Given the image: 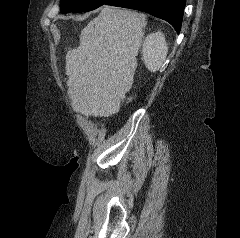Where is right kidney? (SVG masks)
<instances>
[{"mask_svg":"<svg viewBox=\"0 0 240 238\" xmlns=\"http://www.w3.org/2000/svg\"><path fill=\"white\" fill-rule=\"evenodd\" d=\"M168 46L162 32L149 34L143 43L142 56L146 68L155 72L166 59Z\"/></svg>","mask_w":240,"mask_h":238,"instance_id":"1","label":"right kidney"}]
</instances>
